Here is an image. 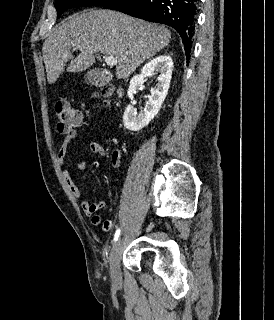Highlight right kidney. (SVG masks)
Instances as JSON below:
<instances>
[{
  "label": "right kidney",
  "instance_id": "obj_1",
  "mask_svg": "<svg viewBox=\"0 0 274 320\" xmlns=\"http://www.w3.org/2000/svg\"><path fill=\"white\" fill-rule=\"evenodd\" d=\"M154 72L159 74V78L157 80L156 88H152L151 90V96H149L146 106L142 108L141 112H137L136 108H134L135 104H129L124 112L123 124L126 130L139 132V130L148 126L149 122L154 120L155 116H157L170 88L173 60L170 58L169 54L153 58V60H150L148 64L143 66V70H141L140 74L133 76L127 92V96L130 100H133L134 94H136V90L139 88L140 84L145 82L148 76H153Z\"/></svg>",
  "mask_w": 274,
  "mask_h": 320
}]
</instances>
